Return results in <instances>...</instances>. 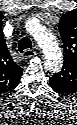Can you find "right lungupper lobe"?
I'll use <instances>...</instances> for the list:
<instances>
[{
    "instance_id": "obj_1",
    "label": "right lung upper lobe",
    "mask_w": 77,
    "mask_h": 125,
    "mask_svg": "<svg viewBox=\"0 0 77 125\" xmlns=\"http://www.w3.org/2000/svg\"><path fill=\"white\" fill-rule=\"evenodd\" d=\"M22 70L23 69L12 60L5 46V51L1 56L0 63V75L5 92L17 86L22 75Z\"/></svg>"
}]
</instances>
